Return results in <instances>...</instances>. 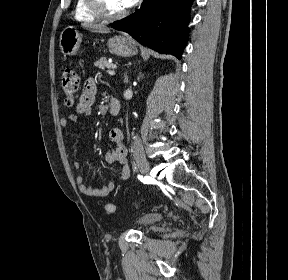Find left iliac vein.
<instances>
[{"instance_id":"1","label":"left iliac vein","mask_w":288,"mask_h":280,"mask_svg":"<svg viewBox=\"0 0 288 280\" xmlns=\"http://www.w3.org/2000/svg\"><path fill=\"white\" fill-rule=\"evenodd\" d=\"M139 167L143 173H147L149 171V165L145 159H141L139 161Z\"/></svg>"}]
</instances>
